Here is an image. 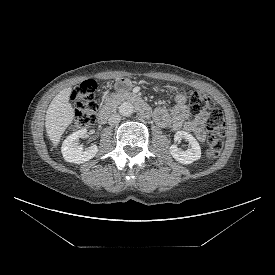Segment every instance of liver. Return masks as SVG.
Segmentation results:
<instances>
[{"label":"liver","mask_w":275,"mask_h":275,"mask_svg":"<svg viewBox=\"0 0 275 275\" xmlns=\"http://www.w3.org/2000/svg\"><path fill=\"white\" fill-rule=\"evenodd\" d=\"M71 91V87L61 90L53 98L46 112V132L54 146L59 144L62 134L75 116L74 109L69 103Z\"/></svg>","instance_id":"obj_1"}]
</instances>
